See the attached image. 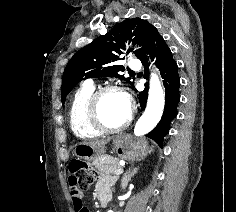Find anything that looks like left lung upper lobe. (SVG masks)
I'll return each instance as SVG.
<instances>
[{
    "label": "left lung upper lobe",
    "mask_w": 236,
    "mask_h": 212,
    "mask_svg": "<svg viewBox=\"0 0 236 212\" xmlns=\"http://www.w3.org/2000/svg\"><path fill=\"white\" fill-rule=\"evenodd\" d=\"M152 24L141 18L126 19L117 23L107 34L96 38L92 43L76 52L68 62L62 79L61 97L62 104L66 96L82 80L97 77H117L127 81L132 87L131 78H125L119 72L125 70L118 65L119 55L125 50V42H133L142 46L133 53L141 59L147 48V42ZM133 49L128 50L132 52Z\"/></svg>",
    "instance_id": "1"
}]
</instances>
